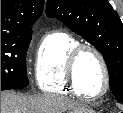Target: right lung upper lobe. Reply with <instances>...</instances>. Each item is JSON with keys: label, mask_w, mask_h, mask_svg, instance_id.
<instances>
[{"label": "right lung upper lobe", "mask_w": 123, "mask_h": 113, "mask_svg": "<svg viewBox=\"0 0 123 113\" xmlns=\"http://www.w3.org/2000/svg\"><path fill=\"white\" fill-rule=\"evenodd\" d=\"M43 5L44 0H1V39L31 35Z\"/></svg>", "instance_id": "cb5924a9"}]
</instances>
